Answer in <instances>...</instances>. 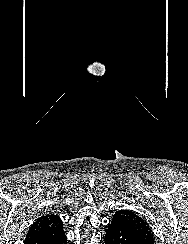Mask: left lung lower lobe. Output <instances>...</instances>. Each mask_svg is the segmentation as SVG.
Masks as SVG:
<instances>
[{
    "label": "left lung lower lobe",
    "instance_id": "obj_1",
    "mask_svg": "<svg viewBox=\"0 0 188 244\" xmlns=\"http://www.w3.org/2000/svg\"><path fill=\"white\" fill-rule=\"evenodd\" d=\"M105 244H154L144 237L130 220L116 212L106 230Z\"/></svg>",
    "mask_w": 188,
    "mask_h": 244
}]
</instances>
